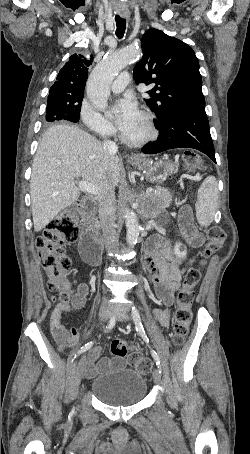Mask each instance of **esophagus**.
Here are the masks:
<instances>
[{"label": "esophagus", "mask_w": 250, "mask_h": 454, "mask_svg": "<svg viewBox=\"0 0 250 454\" xmlns=\"http://www.w3.org/2000/svg\"><path fill=\"white\" fill-rule=\"evenodd\" d=\"M123 17L129 19V15H123ZM138 157H139L138 154H132V155L130 156V158H131L132 160H133V159H137Z\"/></svg>", "instance_id": "esophagus-1"}]
</instances>
